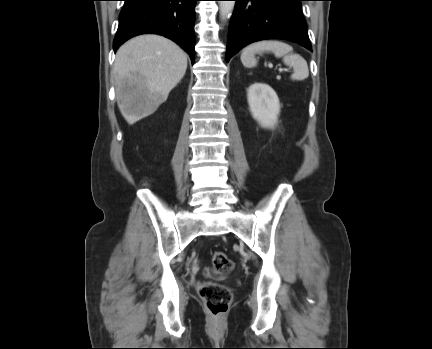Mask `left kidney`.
Here are the masks:
<instances>
[{
  "label": "left kidney",
  "mask_w": 432,
  "mask_h": 349,
  "mask_svg": "<svg viewBox=\"0 0 432 349\" xmlns=\"http://www.w3.org/2000/svg\"><path fill=\"white\" fill-rule=\"evenodd\" d=\"M253 118L264 128H273L278 121L280 104L276 92L265 83H254L247 91Z\"/></svg>",
  "instance_id": "1"
}]
</instances>
